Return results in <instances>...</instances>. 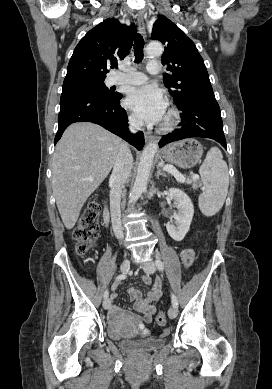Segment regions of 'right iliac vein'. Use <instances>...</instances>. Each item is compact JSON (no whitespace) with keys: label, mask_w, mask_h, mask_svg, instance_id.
<instances>
[{"label":"right iliac vein","mask_w":272,"mask_h":389,"mask_svg":"<svg viewBox=\"0 0 272 389\" xmlns=\"http://www.w3.org/2000/svg\"><path fill=\"white\" fill-rule=\"evenodd\" d=\"M129 269H130V260L125 259L120 266V273L124 275L129 271ZM109 306H110V300L108 298L104 299L103 308L108 309Z\"/></svg>","instance_id":"right-iliac-vein-1"}]
</instances>
